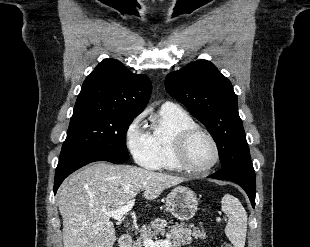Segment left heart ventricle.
Wrapping results in <instances>:
<instances>
[{
    "mask_svg": "<svg viewBox=\"0 0 310 247\" xmlns=\"http://www.w3.org/2000/svg\"><path fill=\"white\" fill-rule=\"evenodd\" d=\"M214 156V148L208 138L197 135L191 140L188 148V160L192 167H206L213 161Z\"/></svg>",
    "mask_w": 310,
    "mask_h": 247,
    "instance_id": "obj_1",
    "label": "left heart ventricle"
}]
</instances>
